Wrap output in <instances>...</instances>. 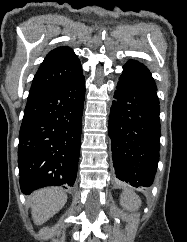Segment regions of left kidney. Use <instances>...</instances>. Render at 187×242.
Returning <instances> with one entry per match:
<instances>
[{
    "mask_svg": "<svg viewBox=\"0 0 187 242\" xmlns=\"http://www.w3.org/2000/svg\"><path fill=\"white\" fill-rule=\"evenodd\" d=\"M120 204L127 210H134L139 208L141 200L135 193L131 191H123L120 196Z\"/></svg>",
    "mask_w": 187,
    "mask_h": 242,
    "instance_id": "left-kidney-1",
    "label": "left kidney"
}]
</instances>
